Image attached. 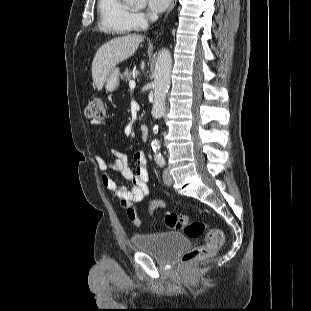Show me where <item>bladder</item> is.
<instances>
[{"mask_svg": "<svg viewBox=\"0 0 311 311\" xmlns=\"http://www.w3.org/2000/svg\"><path fill=\"white\" fill-rule=\"evenodd\" d=\"M131 243L136 251L150 253L165 262L173 260L190 245L186 235L173 231L136 233L131 236Z\"/></svg>", "mask_w": 311, "mask_h": 311, "instance_id": "bladder-1", "label": "bladder"}]
</instances>
